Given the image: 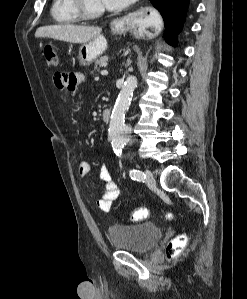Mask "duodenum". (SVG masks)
Returning a JSON list of instances; mask_svg holds the SVG:
<instances>
[{"mask_svg": "<svg viewBox=\"0 0 247 299\" xmlns=\"http://www.w3.org/2000/svg\"><path fill=\"white\" fill-rule=\"evenodd\" d=\"M102 120L106 123L110 121L111 117V110L110 109H104L101 114Z\"/></svg>", "mask_w": 247, "mask_h": 299, "instance_id": "1", "label": "duodenum"}]
</instances>
